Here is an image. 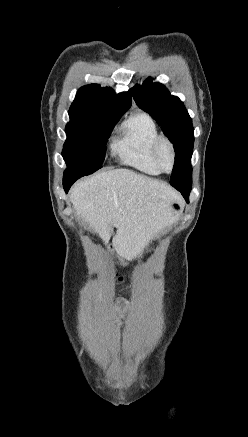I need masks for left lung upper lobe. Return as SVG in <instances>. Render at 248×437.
Masks as SVG:
<instances>
[{"mask_svg": "<svg viewBox=\"0 0 248 437\" xmlns=\"http://www.w3.org/2000/svg\"><path fill=\"white\" fill-rule=\"evenodd\" d=\"M137 105L148 112L173 143L176 159L170 184L180 192L192 187L191 156L194 144L192 120L181 100L149 77L129 90Z\"/></svg>", "mask_w": 248, "mask_h": 437, "instance_id": "1", "label": "left lung upper lobe"}]
</instances>
